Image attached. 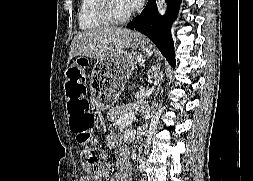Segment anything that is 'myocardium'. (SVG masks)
<instances>
[{"mask_svg": "<svg viewBox=\"0 0 253 181\" xmlns=\"http://www.w3.org/2000/svg\"><path fill=\"white\" fill-rule=\"evenodd\" d=\"M97 13L109 25L123 24L132 16V11L122 16L115 15L112 11L111 0H97Z\"/></svg>", "mask_w": 253, "mask_h": 181, "instance_id": "obj_1", "label": "myocardium"}]
</instances>
